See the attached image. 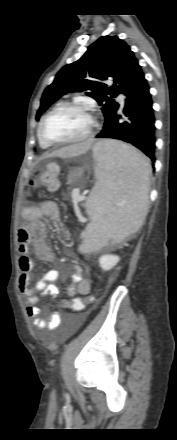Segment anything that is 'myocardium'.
<instances>
[{"mask_svg": "<svg viewBox=\"0 0 177 440\" xmlns=\"http://www.w3.org/2000/svg\"><path fill=\"white\" fill-rule=\"evenodd\" d=\"M67 109H77V110H82L85 111L90 119H91V127L90 129L80 138L77 139H71V140H52L50 138H48L45 134V127L48 123V121L58 112L63 111V110H67ZM98 127V121L95 118V116L93 115L90 107L84 105V104H80V103H73V102H65L62 103L60 105H58L57 107L53 108L51 111H49L46 116L43 118V120L41 121L40 127H39V136L41 137V139L46 142L47 144H49L50 146L52 145H69V144H77V143H81L84 142L86 140H88L89 138H91L95 132V130Z\"/></svg>", "mask_w": 177, "mask_h": 440, "instance_id": "myocardium-1", "label": "myocardium"}]
</instances>
